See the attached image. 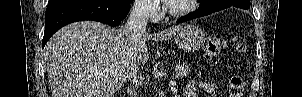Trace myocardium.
I'll return each mask as SVG.
<instances>
[{
    "label": "myocardium",
    "mask_w": 302,
    "mask_h": 97,
    "mask_svg": "<svg viewBox=\"0 0 302 97\" xmlns=\"http://www.w3.org/2000/svg\"><path fill=\"white\" fill-rule=\"evenodd\" d=\"M198 0H188V4L182 8H173L170 3L164 5L166 13L174 18H179L188 15L195 10Z\"/></svg>",
    "instance_id": "myocardium-1"
}]
</instances>
